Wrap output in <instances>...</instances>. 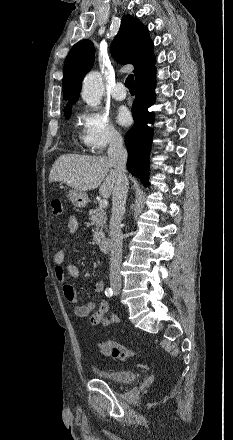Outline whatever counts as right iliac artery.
<instances>
[{"label": "right iliac artery", "mask_w": 233, "mask_h": 440, "mask_svg": "<svg viewBox=\"0 0 233 440\" xmlns=\"http://www.w3.org/2000/svg\"><path fill=\"white\" fill-rule=\"evenodd\" d=\"M105 294H106V296L107 297H112V295H113V290L111 289V288H106V290H105Z\"/></svg>", "instance_id": "obj_1"}]
</instances>
